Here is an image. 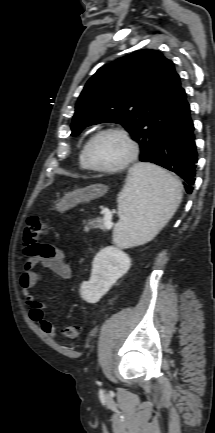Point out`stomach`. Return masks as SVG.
Segmentation results:
<instances>
[{
	"mask_svg": "<svg viewBox=\"0 0 215 433\" xmlns=\"http://www.w3.org/2000/svg\"><path fill=\"white\" fill-rule=\"evenodd\" d=\"M108 191V186L103 184H93L81 189L68 192L56 204L59 212H65L78 204L85 203L104 196Z\"/></svg>",
	"mask_w": 215,
	"mask_h": 433,
	"instance_id": "stomach-1",
	"label": "stomach"
}]
</instances>
